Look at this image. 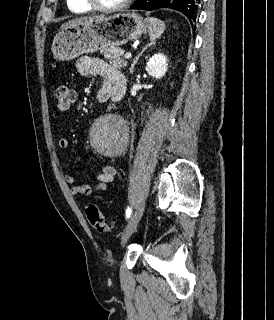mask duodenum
Returning a JSON list of instances; mask_svg holds the SVG:
<instances>
[{
    "label": "duodenum",
    "instance_id": "410a0bca",
    "mask_svg": "<svg viewBox=\"0 0 274 320\" xmlns=\"http://www.w3.org/2000/svg\"><path fill=\"white\" fill-rule=\"evenodd\" d=\"M97 100L100 103H105L108 101V94L106 92H99L97 95Z\"/></svg>",
    "mask_w": 274,
    "mask_h": 320
}]
</instances>
